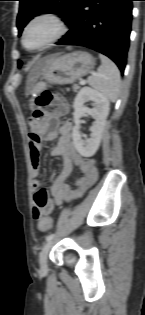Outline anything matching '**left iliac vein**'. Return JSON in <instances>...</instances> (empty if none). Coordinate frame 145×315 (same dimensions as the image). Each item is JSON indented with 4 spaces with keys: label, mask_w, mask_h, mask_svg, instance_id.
I'll return each mask as SVG.
<instances>
[{
    "label": "left iliac vein",
    "mask_w": 145,
    "mask_h": 315,
    "mask_svg": "<svg viewBox=\"0 0 145 315\" xmlns=\"http://www.w3.org/2000/svg\"><path fill=\"white\" fill-rule=\"evenodd\" d=\"M53 245V241L50 240L48 241L44 247L42 248L40 255H39V265L42 271H46L47 270V257L49 254V251L51 249Z\"/></svg>",
    "instance_id": "obj_1"
}]
</instances>
